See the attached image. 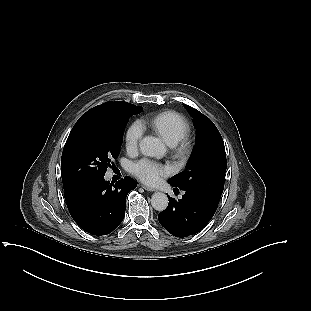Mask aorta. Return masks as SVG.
Listing matches in <instances>:
<instances>
[{
    "instance_id": "aorta-1",
    "label": "aorta",
    "mask_w": 311,
    "mask_h": 311,
    "mask_svg": "<svg viewBox=\"0 0 311 311\" xmlns=\"http://www.w3.org/2000/svg\"><path fill=\"white\" fill-rule=\"evenodd\" d=\"M140 150L145 156L163 157L166 152V146L159 138L147 136L140 142ZM168 202V197L163 192L156 191L151 196V205L157 211L165 210Z\"/></svg>"
}]
</instances>
